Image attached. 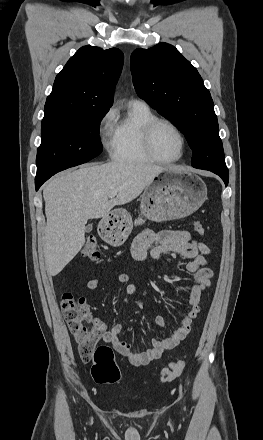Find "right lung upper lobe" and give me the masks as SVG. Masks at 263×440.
<instances>
[{
    "instance_id": "obj_1",
    "label": "right lung upper lobe",
    "mask_w": 263,
    "mask_h": 440,
    "mask_svg": "<svg viewBox=\"0 0 263 440\" xmlns=\"http://www.w3.org/2000/svg\"><path fill=\"white\" fill-rule=\"evenodd\" d=\"M123 60L117 48H80L56 76L45 115L109 110Z\"/></svg>"
}]
</instances>
